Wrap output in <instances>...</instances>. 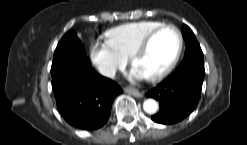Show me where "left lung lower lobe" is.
Listing matches in <instances>:
<instances>
[{
	"mask_svg": "<svg viewBox=\"0 0 247 145\" xmlns=\"http://www.w3.org/2000/svg\"><path fill=\"white\" fill-rule=\"evenodd\" d=\"M203 79V57L184 58L168 78L146 94L160 102V110L152 120L173 124L187 117L198 104Z\"/></svg>",
	"mask_w": 247,
	"mask_h": 145,
	"instance_id": "1",
	"label": "left lung lower lobe"
}]
</instances>
